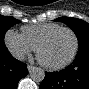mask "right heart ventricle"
I'll list each match as a JSON object with an SVG mask.
<instances>
[{
    "mask_svg": "<svg viewBox=\"0 0 89 89\" xmlns=\"http://www.w3.org/2000/svg\"><path fill=\"white\" fill-rule=\"evenodd\" d=\"M61 27L57 23H41L25 25L21 28V35L35 48L40 40L49 32Z\"/></svg>",
    "mask_w": 89,
    "mask_h": 89,
    "instance_id": "1",
    "label": "right heart ventricle"
}]
</instances>
